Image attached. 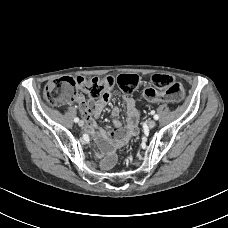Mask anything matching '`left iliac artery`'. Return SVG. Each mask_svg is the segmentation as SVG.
I'll list each match as a JSON object with an SVG mask.
<instances>
[{"label": "left iliac artery", "instance_id": "left-iliac-artery-1", "mask_svg": "<svg viewBox=\"0 0 228 228\" xmlns=\"http://www.w3.org/2000/svg\"><path fill=\"white\" fill-rule=\"evenodd\" d=\"M154 119L155 120H158L159 119V116L156 114V115H154Z\"/></svg>", "mask_w": 228, "mask_h": 228}]
</instances>
